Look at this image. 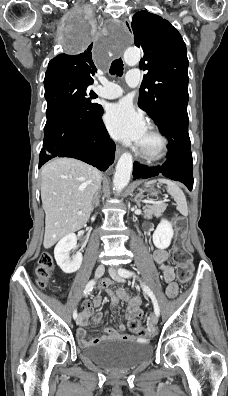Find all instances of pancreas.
I'll use <instances>...</instances> for the list:
<instances>
[{
    "mask_svg": "<svg viewBox=\"0 0 228 396\" xmlns=\"http://www.w3.org/2000/svg\"><path fill=\"white\" fill-rule=\"evenodd\" d=\"M146 207H147L146 211L148 214L159 215L166 210L167 205L164 203H159V204L147 205ZM147 219H153V216H147Z\"/></svg>",
    "mask_w": 228,
    "mask_h": 396,
    "instance_id": "pancreas-1",
    "label": "pancreas"
}]
</instances>
